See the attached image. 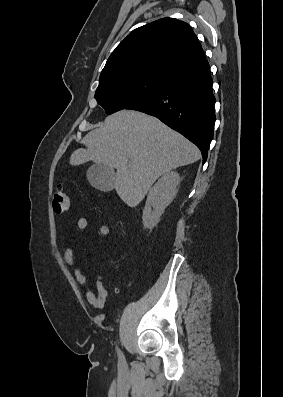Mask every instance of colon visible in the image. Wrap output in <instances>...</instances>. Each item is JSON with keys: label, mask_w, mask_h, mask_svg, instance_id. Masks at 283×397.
Returning a JSON list of instances; mask_svg holds the SVG:
<instances>
[{"label": "colon", "mask_w": 283, "mask_h": 397, "mask_svg": "<svg viewBox=\"0 0 283 397\" xmlns=\"http://www.w3.org/2000/svg\"><path fill=\"white\" fill-rule=\"evenodd\" d=\"M70 198L62 189H57L54 194L53 208L55 212L62 213L69 209Z\"/></svg>", "instance_id": "obj_1"}]
</instances>
